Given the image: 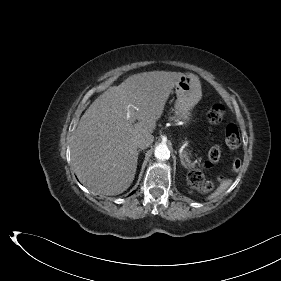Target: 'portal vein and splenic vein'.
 Wrapping results in <instances>:
<instances>
[{
	"mask_svg": "<svg viewBox=\"0 0 281 281\" xmlns=\"http://www.w3.org/2000/svg\"><path fill=\"white\" fill-rule=\"evenodd\" d=\"M131 107H133V106L129 105V106L127 107L126 118H127L128 120H130L131 122H134V121H135V118H134L133 111L131 110ZM134 108H135V107H134Z\"/></svg>",
	"mask_w": 281,
	"mask_h": 281,
	"instance_id": "18ae733b",
	"label": "portal vein and splenic vein"
}]
</instances>
